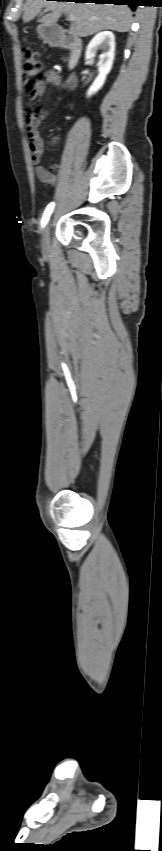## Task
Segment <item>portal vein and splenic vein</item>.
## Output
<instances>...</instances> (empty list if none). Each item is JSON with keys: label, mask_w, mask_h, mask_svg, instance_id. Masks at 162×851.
Listing matches in <instances>:
<instances>
[{"label": "portal vein and splenic vein", "mask_w": 162, "mask_h": 851, "mask_svg": "<svg viewBox=\"0 0 162 851\" xmlns=\"http://www.w3.org/2000/svg\"><path fill=\"white\" fill-rule=\"evenodd\" d=\"M69 19H70V20H74V16L70 14V15H69Z\"/></svg>", "instance_id": "portal-vein-and-splenic-vein-1"}]
</instances>
